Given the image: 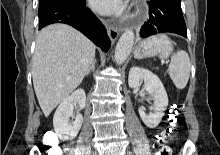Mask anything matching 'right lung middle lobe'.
I'll return each mask as SVG.
<instances>
[{
    "mask_svg": "<svg viewBox=\"0 0 220 155\" xmlns=\"http://www.w3.org/2000/svg\"><path fill=\"white\" fill-rule=\"evenodd\" d=\"M61 1H69V0H39V9Z\"/></svg>",
    "mask_w": 220,
    "mask_h": 155,
    "instance_id": "dd1d6c3e",
    "label": "right lung middle lobe"
}]
</instances>
